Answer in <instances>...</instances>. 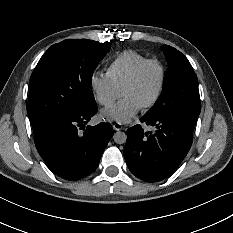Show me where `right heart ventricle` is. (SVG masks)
Instances as JSON below:
<instances>
[{"instance_id": "1", "label": "right heart ventricle", "mask_w": 233, "mask_h": 233, "mask_svg": "<svg viewBox=\"0 0 233 233\" xmlns=\"http://www.w3.org/2000/svg\"><path fill=\"white\" fill-rule=\"evenodd\" d=\"M146 59L144 55L134 50H125L109 61L105 69V76L118 90L131 73Z\"/></svg>"}]
</instances>
